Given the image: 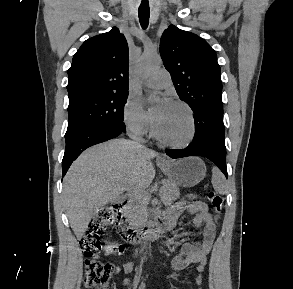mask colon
I'll list each match as a JSON object with an SVG mask.
<instances>
[{
    "label": "colon",
    "mask_w": 293,
    "mask_h": 289,
    "mask_svg": "<svg viewBox=\"0 0 293 289\" xmlns=\"http://www.w3.org/2000/svg\"><path fill=\"white\" fill-rule=\"evenodd\" d=\"M208 200L214 211L219 215L222 211V197L215 193H208ZM115 209L105 208L91 219L84 236L80 240L81 248L85 254V278L84 285L86 289H103L116 268L112 263L102 262L98 259L102 249L115 255H122L125 252V246L117 242L101 241L105 228L112 222Z\"/></svg>",
    "instance_id": "colon-1"
}]
</instances>
